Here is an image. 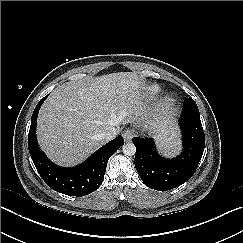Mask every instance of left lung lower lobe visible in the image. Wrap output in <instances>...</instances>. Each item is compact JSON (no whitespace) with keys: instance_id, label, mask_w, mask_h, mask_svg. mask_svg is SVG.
I'll list each match as a JSON object with an SVG mask.
<instances>
[{"instance_id":"obj_1","label":"left lung lower lobe","mask_w":243,"mask_h":243,"mask_svg":"<svg viewBox=\"0 0 243 243\" xmlns=\"http://www.w3.org/2000/svg\"><path fill=\"white\" fill-rule=\"evenodd\" d=\"M179 123L183 135V152L177 158L165 159L159 156L152 139H132L136 147V170L143 183L154 190L167 191L182 185L192 177L201 160L205 135L195 102H184Z\"/></svg>"}]
</instances>
